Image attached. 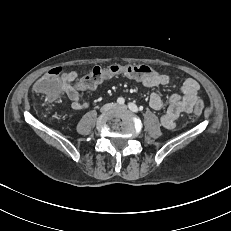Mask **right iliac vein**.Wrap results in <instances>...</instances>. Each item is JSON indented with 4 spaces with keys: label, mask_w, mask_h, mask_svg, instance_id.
Instances as JSON below:
<instances>
[{
    "label": "right iliac vein",
    "mask_w": 231,
    "mask_h": 231,
    "mask_svg": "<svg viewBox=\"0 0 231 231\" xmlns=\"http://www.w3.org/2000/svg\"><path fill=\"white\" fill-rule=\"evenodd\" d=\"M114 107H115L114 104H106L101 108V111L106 112V111H108V110H110L111 108H114Z\"/></svg>",
    "instance_id": "obj_1"
}]
</instances>
